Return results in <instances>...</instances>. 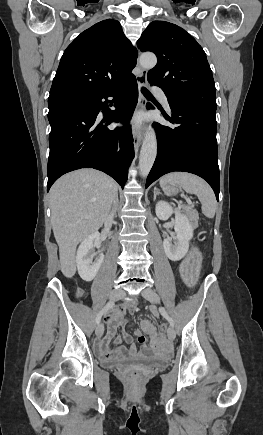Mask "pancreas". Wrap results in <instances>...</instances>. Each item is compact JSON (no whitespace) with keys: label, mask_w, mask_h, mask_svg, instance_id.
<instances>
[{"label":"pancreas","mask_w":263,"mask_h":435,"mask_svg":"<svg viewBox=\"0 0 263 435\" xmlns=\"http://www.w3.org/2000/svg\"><path fill=\"white\" fill-rule=\"evenodd\" d=\"M184 209L186 210V214L189 217L190 221L193 223V225L197 226L199 219L198 212L191 206H185Z\"/></svg>","instance_id":"1"}]
</instances>
